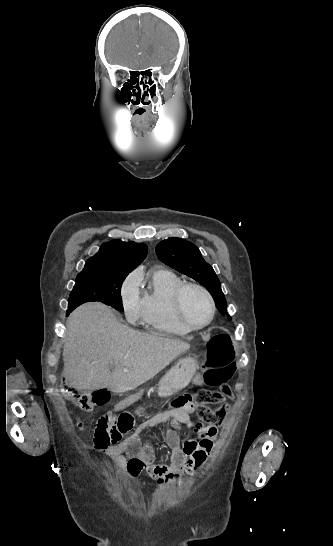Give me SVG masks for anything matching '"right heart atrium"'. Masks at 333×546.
Wrapping results in <instances>:
<instances>
[{"label":"right heart atrium","mask_w":333,"mask_h":546,"mask_svg":"<svg viewBox=\"0 0 333 546\" xmlns=\"http://www.w3.org/2000/svg\"><path fill=\"white\" fill-rule=\"evenodd\" d=\"M140 276L131 273L121 287V303L125 317L130 322L138 321L142 316V302L139 292Z\"/></svg>","instance_id":"obj_1"}]
</instances>
